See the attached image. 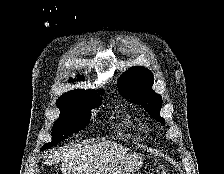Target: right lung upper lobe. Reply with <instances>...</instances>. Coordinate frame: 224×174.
<instances>
[{"mask_svg": "<svg viewBox=\"0 0 224 174\" xmlns=\"http://www.w3.org/2000/svg\"><path fill=\"white\" fill-rule=\"evenodd\" d=\"M83 80L82 77H80ZM100 94V92L98 93ZM96 93L94 90H74L62 95L57 100V105H69V104H76L83 101H96L100 100L99 97H95Z\"/></svg>", "mask_w": 224, "mask_h": 174, "instance_id": "cb5924a9", "label": "right lung upper lobe"}]
</instances>
